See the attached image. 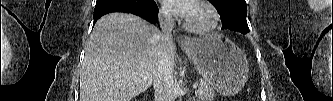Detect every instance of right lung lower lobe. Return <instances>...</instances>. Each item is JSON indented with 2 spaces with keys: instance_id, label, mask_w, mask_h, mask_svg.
<instances>
[{
  "instance_id": "1",
  "label": "right lung lower lobe",
  "mask_w": 333,
  "mask_h": 101,
  "mask_svg": "<svg viewBox=\"0 0 333 101\" xmlns=\"http://www.w3.org/2000/svg\"><path fill=\"white\" fill-rule=\"evenodd\" d=\"M112 12L132 13L150 23L158 20V8L154 0H97L93 25L100 17Z\"/></svg>"
}]
</instances>
